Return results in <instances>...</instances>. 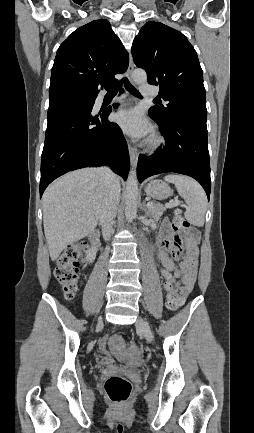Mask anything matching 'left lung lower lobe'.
<instances>
[{"instance_id":"obj_1","label":"left lung lower lobe","mask_w":254,"mask_h":433,"mask_svg":"<svg viewBox=\"0 0 254 433\" xmlns=\"http://www.w3.org/2000/svg\"><path fill=\"white\" fill-rule=\"evenodd\" d=\"M166 143L153 157L139 156V182L149 176L175 172L196 179L210 197L211 179L206 118L196 114H181L167 122L158 121L150 112Z\"/></svg>"}]
</instances>
